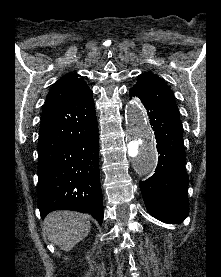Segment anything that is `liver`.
Masks as SVG:
<instances>
[{
	"label": "liver",
	"mask_w": 221,
	"mask_h": 277,
	"mask_svg": "<svg viewBox=\"0 0 221 277\" xmlns=\"http://www.w3.org/2000/svg\"><path fill=\"white\" fill-rule=\"evenodd\" d=\"M90 228L87 214L65 210L50 213L43 223L44 234L53 244L66 252L83 240Z\"/></svg>",
	"instance_id": "obj_1"
}]
</instances>
